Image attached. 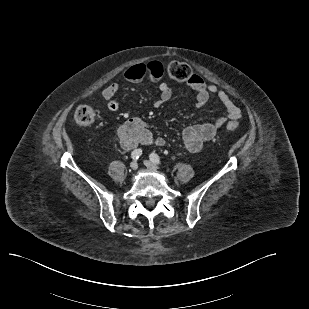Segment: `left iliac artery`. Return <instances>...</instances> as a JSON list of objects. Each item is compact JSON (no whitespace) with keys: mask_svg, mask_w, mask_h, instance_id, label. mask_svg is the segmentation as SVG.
Instances as JSON below:
<instances>
[{"mask_svg":"<svg viewBox=\"0 0 309 309\" xmlns=\"http://www.w3.org/2000/svg\"><path fill=\"white\" fill-rule=\"evenodd\" d=\"M149 158H150V160H151L153 163L161 164V160H160L159 156H158L156 153H151V154L149 155Z\"/></svg>","mask_w":309,"mask_h":309,"instance_id":"left-iliac-artery-1","label":"left iliac artery"}]
</instances>
